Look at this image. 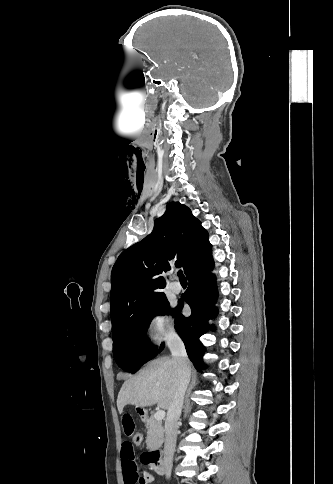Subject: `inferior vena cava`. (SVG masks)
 I'll list each match as a JSON object with an SVG mask.
<instances>
[{"mask_svg": "<svg viewBox=\"0 0 333 484\" xmlns=\"http://www.w3.org/2000/svg\"><path fill=\"white\" fill-rule=\"evenodd\" d=\"M168 346L172 358L178 364V385L165 421L164 465L166 478L169 479L173 466L178 420L181 416L184 396L190 381L191 367L184 343L177 334L174 333L169 337Z\"/></svg>", "mask_w": 333, "mask_h": 484, "instance_id": "obj_1", "label": "inferior vena cava"}]
</instances>
